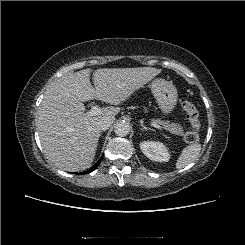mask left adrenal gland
Instances as JSON below:
<instances>
[{
	"instance_id": "a2214340",
	"label": "left adrenal gland",
	"mask_w": 245,
	"mask_h": 245,
	"mask_svg": "<svg viewBox=\"0 0 245 245\" xmlns=\"http://www.w3.org/2000/svg\"><path fill=\"white\" fill-rule=\"evenodd\" d=\"M142 126L141 131L152 130L151 128H147L143 123L140 124Z\"/></svg>"
}]
</instances>
